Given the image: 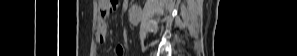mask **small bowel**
Segmentation results:
<instances>
[{"label": "small bowel", "mask_w": 297, "mask_h": 56, "mask_svg": "<svg viewBox=\"0 0 297 56\" xmlns=\"http://www.w3.org/2000/svg\"><path fill=\"white\" fill-rule=\"evenodd\" d=\"M117 0H100L98 2L99 11H100V20H99V27H98V41L102 44L107 42V24H106V17L116 9L117 7ZM115 53L117 56H122L124 53L123 46L119 45L115 49Z\"/></svg>", "instance_id": "obj_1"}]
</instances>
